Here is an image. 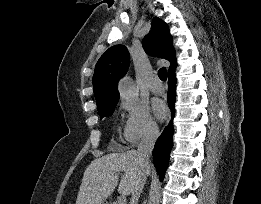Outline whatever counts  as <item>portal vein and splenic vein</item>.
Listing matches in <instances>:
<instances>
[{"instance_id": "1", "label": "portal vein and splenic vein", "mask_w": 261, "mask_h": 204, "mask_svg": "<svg viewBox=\"0 0 261 204\" xmlns=\"http://www.w3.org/2000/svg\"><path fill=\"white\" fill-rule=\"evenodd\" d=\"M127 200H126V196L125 194H121L119 197H118V204H126Z\"/></svg>"}]
</instances>
